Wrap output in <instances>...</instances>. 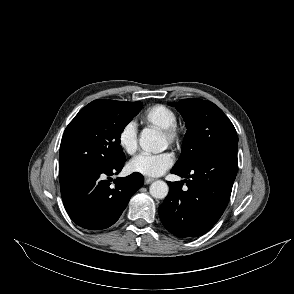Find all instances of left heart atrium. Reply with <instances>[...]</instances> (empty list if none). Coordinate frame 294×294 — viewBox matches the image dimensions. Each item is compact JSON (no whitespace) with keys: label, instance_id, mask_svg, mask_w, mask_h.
Wrapping results in <instances>:
<instances>
[{"label":"left heart atrium","instance_id":"1","mask_svg":"<svg viewBox=\"0 0 294 294\" xmlns=\"http://www.w3.org/2000/svg\"><path fill=\"white\" fill-rule=\"evenodd\" d=\"M173 155L169 152L159 154H140L128 163L129 171L144 176L156 177L173 165Z\"/></svg>","mask_w":294,"mask_h":294}]
</instances>
